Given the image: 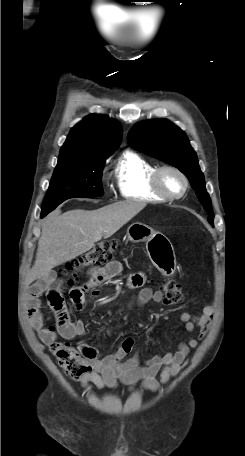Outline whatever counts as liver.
I'll use <instances>...</instances> for the list:
<instances>
[{
    "instance_id": "obj_1",
    "label": "liver",
    "mask_w": 245,
    "mask_h": 456,
    "mask_svg": "<svg viewBox=\"0 0 245 456\" xmlns=\"http://www.w3.org/2000/svg\"><path fill=\"white\" fill-rule=\"evenodd\" d=\"M145 206L142 201L127 200L92 211L75 209L61 214L57 210L50 214L42 223L36 259L26 286L48 277L54 267L86 253L102 237H111Z\"/></svg>"
}]
</instances>
